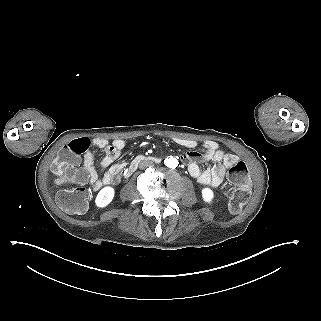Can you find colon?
<instances>
[{
	"mask_svg": "<svg viewBox=\"0 0 321 321\" xmlns=\"http://www.w3.org/2000/svg\"><path fill=\"white\" fill-rule=\"evenodd\" d=\"M90 146L91 141L87 138L73 140L60 150L52 164L57 183L65 187L57 196L58 203L65 212L73 215L83 214L87 208L88 192L81 186L87 175L80 167V159L89 151ZM228 180L232 185L228 196L229 210L237 214L251 194V179L247 165L242 161L231 165Z\"/></svg>",
	"mask_w": 321,
	"mask_h": 321,
	"instance_id": "colon-1",
	"label": "colon"
}]
</instances>
